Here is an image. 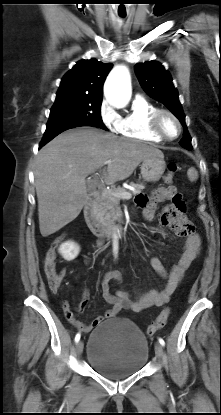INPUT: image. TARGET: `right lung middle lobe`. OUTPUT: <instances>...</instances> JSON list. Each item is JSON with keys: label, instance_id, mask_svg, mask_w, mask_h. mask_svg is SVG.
Masks as SVG:
<instances>
[{"label": "right lung middle lobe", "instance_id": "dd1d6c3e", "mask_svg": "<svg viewBox=\"0 0 221 415\" xmlns=\"http://www.w3.org/2000/svg\"><path fill=\"white\" fill-rule=\"evenodd\" d=\"M101 103L102 98L98 97L75 94L56 95L47 124L82 123L107 130L101 118Z\"/></svg>", "mask_w": 221, "mask_h": 415}]
</instances>
